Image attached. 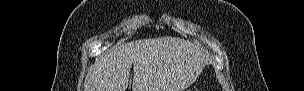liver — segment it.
<instances>
[{
	"instance_id": "1",
	"label": "liver",
	"mask_w": 304,
	"mask_h": 91,
	"mask_svg": "<svg viewBox=\"0 0 304 91\" xmlns=\"http://www.w3.org/2000/svg\"><path fill=\"white\" fill-rule=\"evenodd\" d=\"M207 61L200 46L180 38L136 40L101 56L86 76L85 91H126L132 65V91H184Z\"/></svg>"
}]
</instances>
